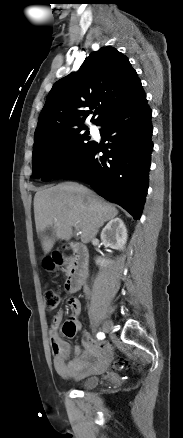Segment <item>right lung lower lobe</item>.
<instances>
[{
    "instance_id": "right-lung-lower-lobe-1",
    "label": "right lung lower lobe",
    "mask_w": 183,
    "mask_h": 438,
    "mask_svg": "<svg viewBox=\"0 0 183 438\" xmlns=\"http://www.w3.org/2000/svg\"><path fill=\"white\" fill-rule=\"evenodd\" d=\"M151 114L145 93L113 111L98 125L102 126L104 140L109 141L106 148L93 142L55 178L77 177L139 219L149 184Z\"/></svg>"
}]
</instances>
